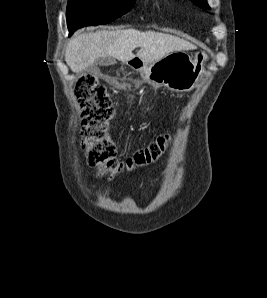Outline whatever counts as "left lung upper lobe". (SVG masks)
<instances>
[{"label":"left lung upper lobe","mask_w":267,"mask_h":298,"mask_svg":"<svg viewBox=\"0 0 267 298\" xmlns=\"http://www.w3.org/2000/svg\"><path fill=\"white\" fill-rule=\"evenodd\" d=\"M193 3H195L196 5L205 8V9H209V6L207 4V0H192Z\"/></svg>","instance_id":"1"}]
</instances>
